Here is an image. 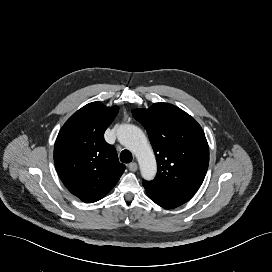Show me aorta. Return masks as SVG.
<instances>
[{
  "instance_id": "762f6f07",
  "label": "aorta",
  "mask_w": 272,
  "mask_h": 272,
  "mask_svg": "<svg viewBox=\"0 0 272 272\" xmlns=\"http://www.w3.org/2000/svg\"><path fill=\"white\" fill-rule=\"evenodd\" d=\"M119 142L135 154L145 180H153L157 172L156 159L143 131L135 125H123L118 131Z\"/></svg>"
}]
</instances>
